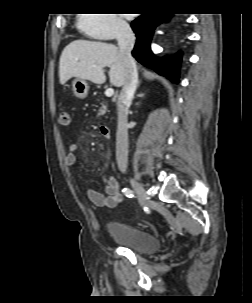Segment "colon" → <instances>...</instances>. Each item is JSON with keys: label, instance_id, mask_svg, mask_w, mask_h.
I'll return each instance as SVG.
<instances>
[{"label": "colon", "instance_id": "5ec220e1", "mask_svg": "<svg viewBox=\"0 0 252 303\" xmlns=\"http://www.w3.org/2000/svg\"><path fill=\"white\" fill-rule=\"evenodd\" d=\"M60 123L62 126L68 127L71 125V116L69 112L63 111L60 114Z\"/></svg>", "mask_w": 252, "mask_h": 303}]
</instances>
